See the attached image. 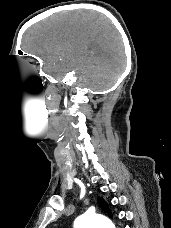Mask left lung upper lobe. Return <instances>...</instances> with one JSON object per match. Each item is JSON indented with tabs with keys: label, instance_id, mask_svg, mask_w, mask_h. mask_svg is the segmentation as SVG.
I'll list each match as a JSON object with an SVG mask.
<instances>
[{
	"label": "left lung upper lobe",
	"instance_id": "5c2ea615",
	"mask_svg": "<svg viewBox=\"0 0 171 228\" xmlns=\"http://www.w3.org/2000/svg\"><path fill=\"white\" fill-rule=\"evenodd\" d=\"M98 202H99V205L101 206V208H102L105 212H107V213L110 215V217H112V214H111V211H110V209H109V207H108V204L103 200V198L99 197V198H98Z\"/></svg>",
	"mask_w": 171,
	"mask_h": 228
}]
</instances>
